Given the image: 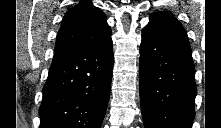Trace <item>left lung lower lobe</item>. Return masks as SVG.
<instances>
[{
	"instance_id": "1",
	"label": "left lung lower lobe",
	"mask_w": 221,
	"mask_h": 128,
	"mask_svg": "<svg viewBox=\"0 0 221 128\" xmlns=\"http://www.w3.org/2000/svg\"><path fill=\"white\" fill-rule=\"evenodd\" d=\"M139 84L145 128H191L195 117V68L183 26L151 15L142 30Z\"/></svg>"
}]
</instances>
